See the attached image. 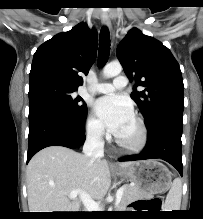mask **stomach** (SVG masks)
Segmentation results:
<instances>
[{"label":"stomach","mask_w":203,"mask_h":219,"mask_svg":"<svg viewBox=\"0 0 203 219\" xmlns=\"http://www.w3.org/2000/svg\"><path fill=\"white\" fill-rule=\"evenodd\" d=\"M115 173L134 182L146 197L162 193L172 184L171 172L157 160L133 162L129 167L119 169Z\"/></svg>","instance_id":"1"}]
</instances>
